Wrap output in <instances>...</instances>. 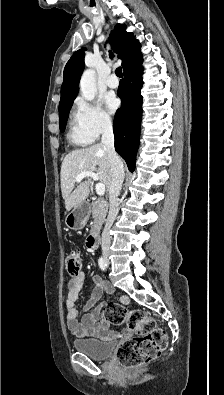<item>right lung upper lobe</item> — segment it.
<instances>
[{
  "instance_id": "right-lung-upper-lobe-1",
  "label": "right lung upper lobe",
  "mask_w": 224,
  "mask_h": 395,
  "mask_svg": "<svg viewBox=\"0 0 224 395\" xmlns=\"http://www.w3.org/2000/svg\"><path fill=\"white\" fill-rule=\"evenodd\" d=\"M110 42L118 58L122 59L123 70L141 56L140 44L133 33L126 32V26L117 24L110 35ZM84 69V48L76 51L67 62L64 69V80L61 88L59 109H62L75 99L78 93L80 76Z\"/></svg>"
}]
</instances>
